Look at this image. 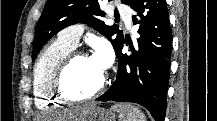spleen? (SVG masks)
Here are the masks:
<instances>
[{"label": "spleen", "mask_w": 217, "mask_h": 121, "mask_svg": "<svg viewBox=\"0 0 217 121\" xmlns=\"http://www.w3.org/2000/svg\"><path fill=\"white\" fill-rule=\"evenodd\" d=\"M112 110L119 113L120 121H146L142 111L128 103L116 104L112 106Z\"/></svg>", "instance_id": "1"}]
</instances>
